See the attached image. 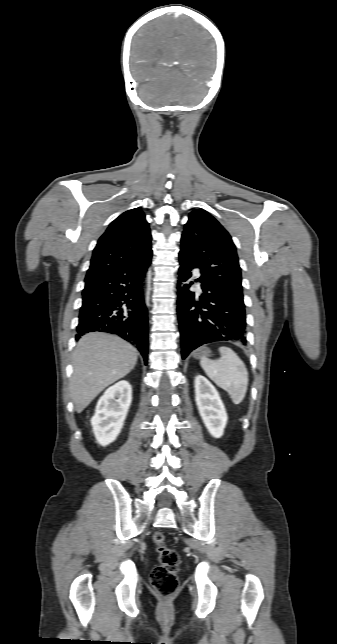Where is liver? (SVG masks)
<instances>
[{"label": "liver", "instance_id": "6515ba94", "mask_svg": "<svg viewBox=\"0 0 337 644\" xmlns=\"http://www.w3.org/2000/svg\"><path fill=\"white\" fill-rule=\"evenodd\" d=\"M137 350L121 338L89 333L73 353L70 395L81 413L106 387L126 376L136 365Z\"/></svg>", "mask_w": 337, "mask_h": 644}]
</instances>
